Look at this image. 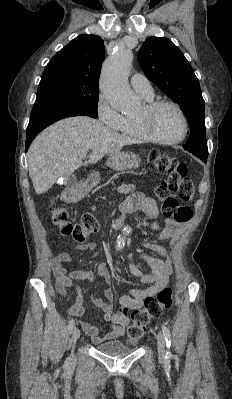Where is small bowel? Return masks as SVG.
<instances>
[{
    "label": "small bowel",
    "instance_id": "1",
    "mask_svg": "<svg viewBox=\"0 0 232 399\" xmlns=\"http://www.w3.org/2000/svg\"><path fill=\"white\" fill-rule=\"evenodd\" d=\"M128 210H141L150 217V221L145 224V229L160 228L156 222L158 201L155 198L146 197L141 192L131 193L125 203ZM160 239H170L177 242L182 233V228L178 226H166L160 228ZM82 250L90 252L88 258L79 263V268L72 271H66L63 264L71 261V257L67 252H61L55 256L51 262V271L56 281V286L62 298H67V289H73L74 303L67 307V312L71 316L79 318V329L91 336L93 345H102L105 343L117 344L118 336L122 334L129 325V311L131 309H140L144 305V301L150 297L157 295L169 283L171 274L173 272V255L171 252L164 249L157 241H148L142 244L145 249L161 254L165 260L161 261L157 258L141 253L139 249H131L126 255L125 259L129 262V271L141 284L151 285L145 288H139L131 294H121L119 297V308L115 313L111 311L110 301L114 297L112 288V277L109 269L104 264V254L97 251L92 242H83L78 246ZM135 258H140L150 264L152 268L151 273H144L135 264L131 263ZM93 263L98 264V273L100 278L106 285L105 296L106 301L102 299H93L91 304L94 305L101 313L100 326H93L83 318L85 312L86 301L75 284L74 280L77 278H87L92 282L96 281V276L87 272L86 268ZM109 330L103 333L106 325H110Z\"/></svg>",
    "mask_w": 232,
    "mask_h": 399
}]
</instances>
